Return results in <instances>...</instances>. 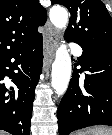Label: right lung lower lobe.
<instances>
[{
	"mask_svg": "<svg viewBox=\"0 0 112 135\" xmlns=\"http://www.w3.org/2000/svg\"><path fill=\"white\" fill-rule=\"evenodd\" d=\"M11 59L15 61L12 63ZM42 35L0 58V129L29 135L35 88L42 71ZM18 70V73H14ZM8 76L14 86L2 82Z\"/></svg>",
	"mask_w": 112,
	"mask_h": 135,
	"instance_id": "right-lung-lower-lobe-1",
	"label": "right lung lower lobe"
}]
</instances>
